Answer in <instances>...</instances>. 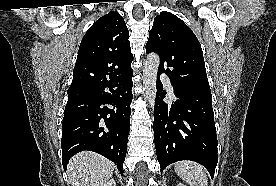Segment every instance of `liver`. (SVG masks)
Wrapping results in <instances>:
<instances>
[{
	"instance_id": "liver-1",
	"label": "liver",
	"mask_w": 276,
	"mask_h": 186,
	"mask_svg": "<svg viewBox=\"0 0 276 186\" xmlns=\"http://www.w3.org/2000/svg\"><path fill=\"white\" fill-rule=\"evenodd\" d=\"M114 165L103 156L83 151L68 163V178L72 186H103L112 176Z\"/></svg>"
}]
</instances>
